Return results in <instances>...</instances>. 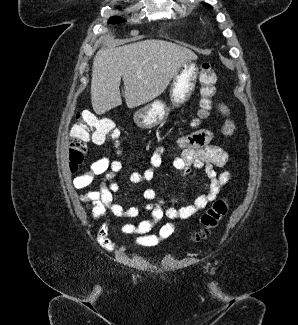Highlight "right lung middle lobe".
I'll return each instance as SVG.
<instances>
[{
	"mask_svg": "<svg viewBox=\"0 0 298 325\" xmlns=\"http://www.w3.org/2000/svg\"><path fill=\"white\" fill-rule=\"evenodd\" d=\"M108 22L109 23H121V22H125V20L121 17L115 16V17H111Z\"/></svg>",
	"mask_w": 298,
	"mask_h": 325,
	"instance_id": "obj_1",
	"label": "right lung middle lobe"
}]
</instances>
